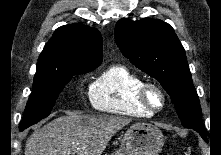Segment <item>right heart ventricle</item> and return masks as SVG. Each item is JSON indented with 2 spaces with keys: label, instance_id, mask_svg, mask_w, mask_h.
Here are the masks:
<instances>
[{
  "label": "right heart ventricle",
  "instance_id": "e07e8e85",
  "mask_svg": "<svg viewBox=\"0 0 221 155\" xmlns=\"http://www.w3.org/2000/svg\"><path fill=\"white\" fill-rule=\"evenodd\" d=\"M143 79L124 65L104 70L89 87V100L94 109L111 114L148 117L153 113L138 100Z\"/></svg>",
  "mask_w": 221,
  "mask_h": 155
}]
</instances>
